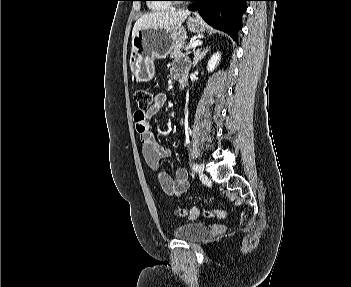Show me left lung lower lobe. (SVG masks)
<instances>
[{
    "label": "left lung lower lobe",
    "instance_id": "obj_1",
    "mask_svg": "<svg viewBox=\"0 0 351 287\" xmlns=\"http://www.w3.org/2000/svg\"><path fill=\"white\" fill-rule=\"evenodd\" d=\"M189 10L198 11L202 18L214 28L228 33L237 41L241 18L250 0H190Z\"/></svg>",
    "mask_w": 351,
    "mask_h": 287
}]
</instances>
